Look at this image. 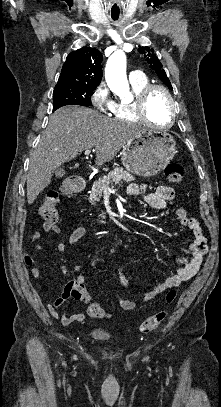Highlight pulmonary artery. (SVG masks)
Segmentation results:
<instances>
[{"label":"pulmonary artery","instance_id":"e3ab8cb5","mask_svg":"<svg viewBox=\"0 0 221 407\" xmlns=\"http://www.w3.org/2000/svg\"><path fill=\"white\" fill-rule=\"evenodd\" d=\"M144 77V74L141 70H133L129 73V80L134 81Z\"/></svg>","mask_w":221,"mask_h":407}]
</instances>
